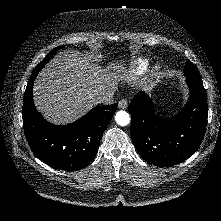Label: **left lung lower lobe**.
<instances>
[{
  "label": "left lung lower lobe",
  "mask_w": 221,
  "mask_h": 221,
  "mask_svg": "<svg viewBox=\"0 0 221 221\" xmlns=\"http://www.w3.org/2000/svg\"><path fill=\"white\" fill-rule=\"evenodd\" d=\"M190 98L172 118L154 112L152 100L137 93L129 105L131 138L140 156L158 167L176 165L199 148L207 125V100L203 86L188 84Z\"/></svg>",
  "instance_id": "obj_1"
}]
</instances>
